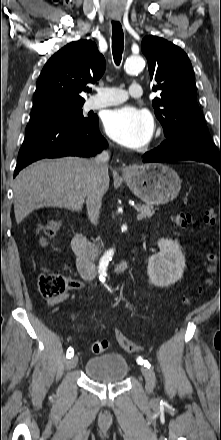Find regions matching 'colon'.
I'll return each mask as SVG.
<instances>
[{"label": "colon", "instance_id": "colon-1", "mask_svg": "<svg viewBox=\"0 0 221 440\" xmlns=\"http://www.w3.org/2000/svg\"><path fill=\"white\" fill-rule=\"evenodd\" d=\"M207 222H212L215 219V214L212 210H208L205 214ZM173 222L176 226L186 228L194 224L193 217L188 212H180L174 215ZM59 223L53 219L47 221L41 228L42 240L52 237L58 230ZM208 272L212 276L221 262V252L216 251L207 254ZM39 290L45 299H56L62 296L68 289V281L62 275L53 272H44L39 277ZM201 291L199 294H201ZM194 297H188L184 303L191 305L194 302ZM113 339H117L120 345L129 353H136L140 350V346L130 342L124 335L122 330L117 328L112 332ZM109 342L106 339H100L93 342L91 349L94 354H102L107 351Z\"/></svg>", "mask_w": 221, "mask_h": 440}]
</instances>
